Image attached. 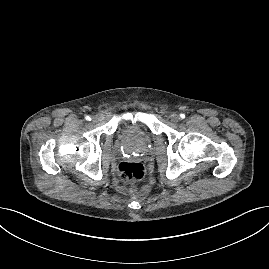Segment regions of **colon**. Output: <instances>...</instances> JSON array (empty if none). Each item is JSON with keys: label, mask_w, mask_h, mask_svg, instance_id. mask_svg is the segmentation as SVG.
Returning a JSON list of instances; mask_svg holds the SVG:
<instances>
[{"label": "colon", "mask_w": 269, "mask_h": 269, "mask_svg": "<svg viewBox=\"0 0 269 269\" xmlns=\"http://www.w3.org/2000/svg\"><path fill=\"white\" fill-rule=\"evenodd\" d=\"M116 172L121 182L132 184L143 178L144 167L136 161H125L118 164Z\"/></svg>", "instance_id": "1"}]
</instances>
